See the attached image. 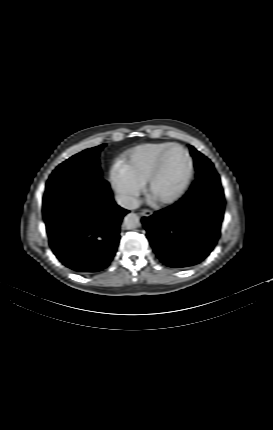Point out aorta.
<instances>
[{"mask_svg": "<svg viewBox=\"0 0 273 430\" xmlns=\"http://www.w3.org/2000/svg\"><path fill=\"white\" fill-rule=\"evenodd\" d=\"M124 226L128 230H134L140 226V219L137 214L129 213L124 218Z\"/></svg>", "mask_w": 273, "mask_h": 430, "instance_id": "762f6f07", "label": "aorta"}]
</instances>
